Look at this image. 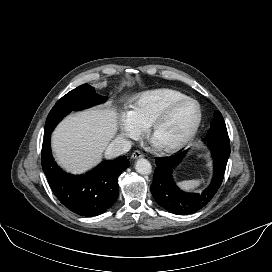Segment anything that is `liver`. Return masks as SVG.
Returning <instances> with one entry per match:
<instances>
[{"label": "liver", "instance_id": "6515ba94", "mask_svg": "<svg viewBox=\"0 0 272 272\" xmlns=\"http://www.w3.org/2000/svg\"><path fill=\"white\" fill-rule=\"evenodd\" d=\"M117 129V113L110 107H96L68 115L52 136L57 162L72 173L91 169L100 161Z\"/></svg>", "mask_w": 272, "mask_h": 272}]
</instances>
